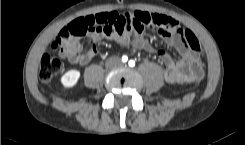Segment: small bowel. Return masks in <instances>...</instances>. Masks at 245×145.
<instances>
[{
	"label": "small bowel",
	"mask_w": 245,
	"mask_h": 145,
	"mask_svg": "<svg viewBox=\"0 0 245 145\" xmlns=\"http://www.w3.org/2000/svg\"><path fill=\"white\" fill-rule=\"evenodd\" d=\"M141 14L152 16L154 13L145 11H133L127 13L107 12L104 14L93 15L91 17H93L96 22L98 16H101L106 22H111L116 21L123 15H126L131 19L139 20ZM88 17L89 16L81 17L79 20L86 22ZM87 35L92 42L91 47L87 50H82L77 38L68 39L65 45V49L68 53H62L60 55L63 58H67L71 64L85 65L98 54V45L100 41L111 39L122 44H126L128 41V33H118L112 28L99 30L94 27L87 33ZM157 36L160 37L167 45L174 47L180 54L181 58L179 60L173 59L168 52L157 49L151 41L144 40L142 38L136 39L135 45L149 53H157L159 55L161 62L165 66L164 76L168 82H193L200 80L204 76L203 63L200 56L193 51L180 36L175 35L165 26H162L157 30Z\"/></svg>",
	"instance_id": "1"
}]
</instances>
